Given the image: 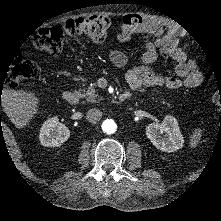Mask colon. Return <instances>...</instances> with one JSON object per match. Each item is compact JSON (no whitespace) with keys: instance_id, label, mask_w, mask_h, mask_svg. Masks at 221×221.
I'll use <instances>...</instances> for the list:
<instances>
[{"instance_id":"obj_1","label":"colon","mask_w":221,"mask_h":221,"mask_svg":"<svg viewBox=\"0 0 221 221\" xmlns=\"http://www.w3.org/2000/svg\"><path fill=\"white\" fill-rule=\"evenodd\" d=\"M142 25V17L133 14L122 17L93 15L68 19L59 25L41 29L34 40V47L57 55L67 38L84 36L97 43L103 41L114 26L135 29ZM37 73V67L32 61L20 58L11 65L6 85L15 88L21 82L36 77Z\"/></svg>"}]
</instances>
